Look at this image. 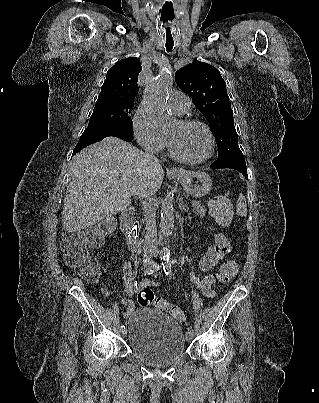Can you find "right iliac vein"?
<instances>
[{"label": "right iliac vein", "instance_id": "right-iliac-vein-1", "mask_svg": "<svg viewBox=\"0 0 319 403\" xmlns=\"http://www.w3.org/2000/svg\"><path fill=\"white\" fill-rule=\"evenodd\" d=\"M149 268H150V266H149L148 264H144V266H143V269H144V270H149ZM121 335H122L123 337L126 336V329L121 330Z\"/></svg>", "mask_w": 319, "mask_h": 403}]
</instances>
